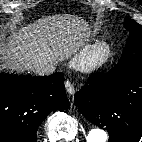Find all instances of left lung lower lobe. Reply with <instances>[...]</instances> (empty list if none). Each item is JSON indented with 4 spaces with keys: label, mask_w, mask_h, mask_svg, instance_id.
Segmentation results:
<instances>
[{
    "label": "left lung lower lobe",
    "mask_w": 142,
    "mask_h": 142,
    "mask_svg": "<svg viewBox=\"0 0 142 142\" xmlns=\"http://www.w3.org/2000/svg\"><path fill=\"white\" fill-rule=\"evenodd\" d=\"M87 120L109 133L108 142H135L142 136V67L90 76L74 101ZM142 142V141H141Z\"/></svg>",
    "instance_id": "0a47b994"
}]
</instances>
